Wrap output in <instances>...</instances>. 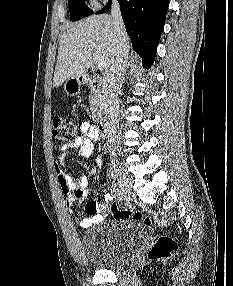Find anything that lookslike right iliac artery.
<instances>
[{"label":"right iliac artery","instance_id":"obj_1","mask_svg":"<svg viewBox=\"0 0 233 286\" xmlns=\"http://www.w3.org/2000/svg\"><path fill=\"white\" fill-rule=\"evenodd\" d=\"M112 194H113V196L114 197H117V196H119V186H118V184L116 183V182H112Z\"/></svg>","mask_w":233,"mask_h":286}]
</instances>
